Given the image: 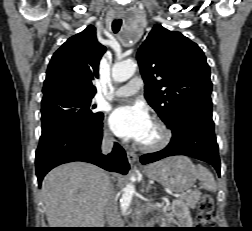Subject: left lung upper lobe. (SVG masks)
Wrapping results in <instances>:
<instances>
[{
  "label": "left lung upper lobe",
  "mask_w": 252,
  "mask_h": 231,
  "mask_svg": "<svg viewBox=\"0 0 252 231\" xmlns=\"http://www.w3.org/2000/svg\"><path fill=\"white\" fill-rule=\"evenodd\" d=\"M145 98L169 125L181 112L212 111L210 68L200 47L180 32L155 25L137 52Z\"/></svg>",
  "instance_id": "5c2ea615"
}]
</instances>
